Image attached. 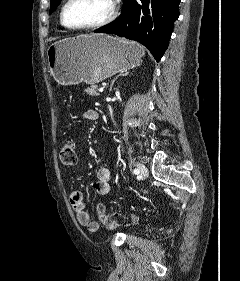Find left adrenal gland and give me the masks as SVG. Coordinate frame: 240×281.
Here are the masks:
<instances>
[{
    "instance_id": "obj_1",
    "label": "left adrenal gland",
    "mask_w": 240,
    "mask_h": 281,
    "mask_svg": "<svg viewBox=\"0 0 240 281\" xmlns=\"http://www.w3.org/2000/svg\"><path fill=\"white\" fill-rule=\"evenodd\" d=\"M129 74V72H126V73H123V74H120V75H118V76H116L113 80H112V82H111V84H110V91L112 90V87H113V84H114V82L120 77V76H127Z\"/></svg>"
}]
</instances>
